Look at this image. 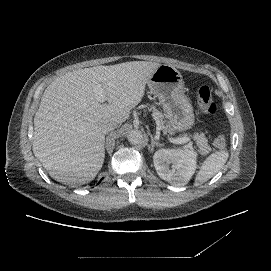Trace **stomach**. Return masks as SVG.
<instances>
[{
	"instance_id": "obj_1",
	"label": "stomach",
	"mask_w": 271,
	"mask_h": 271,
	"mask_svg": "<svg viewBox=\"0 0 271 271\" xmlns=\"http://www.w3.org/2000/svg\"><path fill=\"white\" fill-rule=\"evenodd\" d=\"M148 87L159 99L164 114L169 119V135L180 134L195 125L192 102L184 93L181 73L173 66L161 65L148 81Z\"/></svg>"
}]
</instances>
